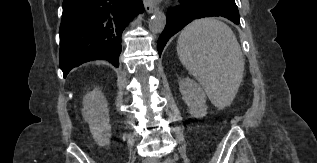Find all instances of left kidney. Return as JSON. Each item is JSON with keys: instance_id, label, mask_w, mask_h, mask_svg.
Listing matches in <instances>:
<instances>
[{"instance_id": "1", "label": "left kidney", "mask_w": 317, "mask_h": 163, "mask_svg": "<svg viewBox=\"0 0 317 163\" xmlns=\"http://www.w3.org/2000/svg\"><path fill=\"white\" fill-rule=\"evenodd\" d=\"M179 90L192 117L202 118L207 114L206 95L192 79L186 77L179 82Z\"/></svg>"}]
</instances>
